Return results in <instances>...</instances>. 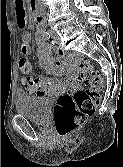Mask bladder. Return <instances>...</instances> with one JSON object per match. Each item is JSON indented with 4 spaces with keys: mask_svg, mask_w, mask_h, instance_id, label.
I'll list each match as a JSON object with an SVG mask.
<instances>
[{
    "mask_svg": "<svg viewBox=\"0 0 123 167\" xmlns=\"http://www.w3.org/2000/svg\"><path fill=\"white\" fill-rule=\"evenodd\" d=\"M52 104V99L45 96L19 95L15 99L17 113L38 124L47 122Z\"/></svg>",
    "mask_w": 123,
    "mask_h": 167,
    "instance_id": "obj_1",
    "label": "bladder"
}]
</instances>
